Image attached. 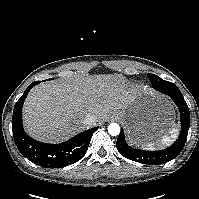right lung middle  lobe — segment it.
Segmentation results:
<instances>
[{"label":"right lung middle lobe","instance_id":"dd1d6c3e","mask_svg":"<svg viewBox=\"0 0 199 199\" xmlns=\"http://www.w3.org/2000/svg\"><path fill=\"white\" fill-rule=\"evenodd\" d=\"M34 83H35V84H39V83H40V81H35Z\"/></svg>","mask_w":199,"mask_h":199}]
</instances>
